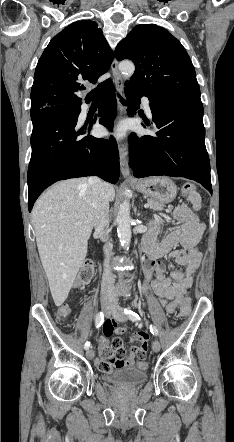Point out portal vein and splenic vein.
<instances>
[{
  "mask_svg": "<svg viewBox=\"0 0 234 442\" xmlns=\"http://www.w3.org/2000/svg\"><path fill=\"white\" fill-rule=\"evenodd\" d=\"M144 207H145V208H148V207H149V204H145ZM80 225H81V223H77V226H80Z\"/></svg>",
  "mask_w": 234,
  "mask_h": 442,
  "instance_id": "obj_1",
  "label": "portal vein and splenic vein"
}]
</instances>
